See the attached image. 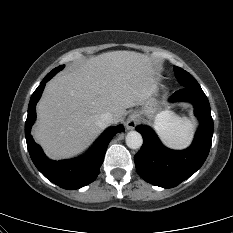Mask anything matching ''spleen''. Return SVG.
<instances>
[{
  "label": "spleen",
  "instance_id": "1",
  "mask_svg": "<svg viewBox=\"0 0 233 233\" xmlns=\"http://www.w3.org/2000/svg\"><path fill=\"white\" fill-rule=\"evenodd\" d=\"M193 124L186 117L161 114L156 120L155 129L163 143L174 149L185 148L193 136Z\"/></svg>",
  "mask_w": 233,
  "mask_h": 233
}]
</instances>
